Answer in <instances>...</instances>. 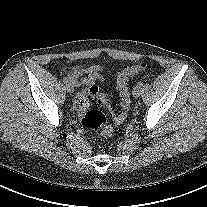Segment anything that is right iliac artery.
Segmentation results:
<instances>
[{
    "label": "right iliac artery",
    "mask_w": 207,
    "mask_h": 207,
    "mask_svg": "<svg viewBox=\"0 0 207 207\" xmlns=\"http://www.w3.org/2000/svg\"><path fill=\"white\" fill-rule=\"evenodd\" d=\"M63 82H64L65 84H67L69 81H68V79H67L66 77H64V78H63Z\"/></svg>",
    "instance_id": "right-iliac-artery-1"
}]
</instances>
